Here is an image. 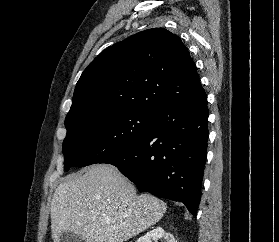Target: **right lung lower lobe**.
Here are the masks:
<instances>
[{
  "mask_svg": "<svg viewBox=\"0 0 279 242\" xmlns=\"http://www.w3.org/2000/svg\"><path fill=\"white\" fill-rule=\"evenodd\" d=\"M208 142V106L204 92L159 109L143 139L103 159L116 166L140 192L183 202L197 210Z\"/></svg>",
  "mask_w": 279,
  "mask_h": 242,
  "instance_id": "98d812e1",
  "label": "right lung lower lobe"
}]
</instances>
